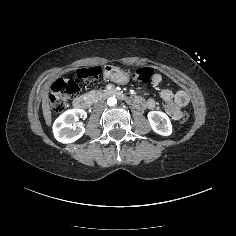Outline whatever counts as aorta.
Returning <instances> with one entry per match:
<instances>
[{
	"label": "aorta",
	"mask_w": 236,
	"mask_h": 236,
	"mask_svg": "<svg viewBox=\"0 0 236 236\" xmlns=\"http://www.w3.org/2000/svg\"><path fill=\"white\" fill-rule=\"evenodd\" d=\"M116 103H117V100L114 97L108 98V100H107V105L110 106V107L115 106Z\"/></svg>",
	"instance_id": "obj_1"
}]
</instances>
